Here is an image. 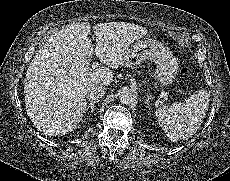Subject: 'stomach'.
Masks as SVG:
<instances>
[{"instance_id":"0dacf381","label":"stomach","mask_w":230,"mask_h":181,"mask_svg":"<svg viewBox=\"0 0 230 181\" xmlns=\"http://www.w3.org/2000/svg\"><path fill=\"white\" fill-rule=\"evenodd\" d=\"M156 44L150 40H142L134 45V50L128 51L124 57L125 62H136L140 59V57L147 55L152 48H155ZM157 58L158 61V69L155 74V78L163 85L171 83L172 79L175 78L178 66L174 59V57L162 49Z\"/></svg>"}]
</instances>
